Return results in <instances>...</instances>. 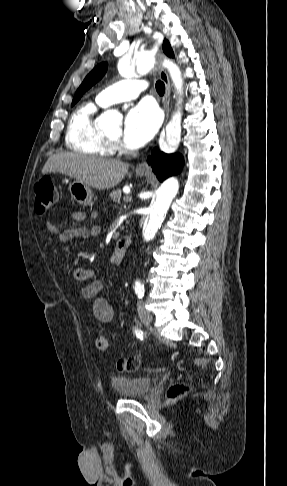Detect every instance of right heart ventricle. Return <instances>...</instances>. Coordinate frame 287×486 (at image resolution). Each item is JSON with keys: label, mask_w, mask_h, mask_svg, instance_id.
<instances>
[{"label": "right heart ventricle", "mask_w": 287, "mask_h": 486, "mask_svg": "<svg viewBox=\"0 0 287 486\" xmlns=\"http://www.w3.org/2000/svg\"><path fill=\"white\" fill-rule=\"evenodd\" d=\"M98 107L102 105L88 102L71 116L66 133V144L70 150L95 157L111 154L112 146L95 122Z\"/></svg>", "instance_id": "obj_1"}]
</instances>
